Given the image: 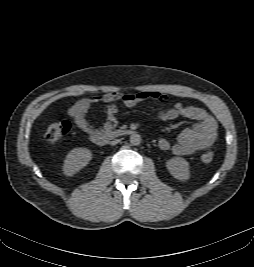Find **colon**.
Returning a JSON list of instances; mask_svg holds the SVG:
<instances>
[{
    "label": "colon",
    "instance_id": "colon-1",
    "mask_svg": "<svg viewBox=\"0 0 254 267\" xmlns=\"http://www.w3.org/2000/svg\"><path fill=\"white\" fill-rule=\"evenodd\" d=\"M71 130V123L67 120L54 122L50 124L45 132V138L49 142H56L67 135ZM214 155L208 151L201 155V161L204 164H209L213 161Z\"/></svg>",
    "mask_w": 254,
    "mask_h": 267
}]
</instances>
